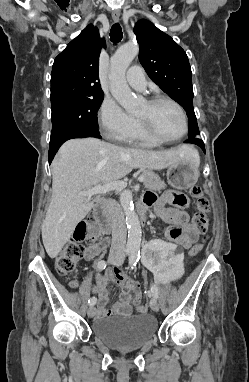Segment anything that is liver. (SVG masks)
Masks as SVG:
<instances>
[{
  "instance_id": "6515ba94",
  "label": "liver",
  "mask_w": 249,
  "mask_h": 382,
  "mask_svg": "<svg viewBox=\"0 0 249 382\" xmlns=\"http://www.w3.org/2000/svg\"><path fill=\"white\" fill-rule=\"evenodd\" d=\"M184 157H194L199 163L198 153L187 145L149 151L92 137L66 141L52 162V198L42 223V240L49 257L59 254L93 207L90 197L81 192L121 179L135 168L161 170Z\"/></svg>"
}]
</instances>
